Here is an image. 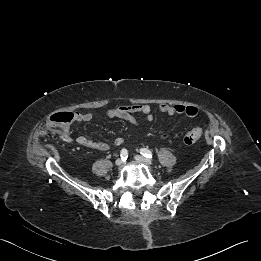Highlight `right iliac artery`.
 Segmentation results:
<instances>
[{"label": "right iliac artery", "mask_w": 261, "mask_h": 261, "mask_svg": "<svg viewBox=\"0 0 261 261\" xmlns=\"http://www.w3.org/2000/svg\"><path fill=\"white\" fill-rule=\"evenodd\" d=\"M121 159L123 161H126L128 158V151L126 149H122L120 153Z\"/></svg>", "instance_id": "1"}]
</instances>
